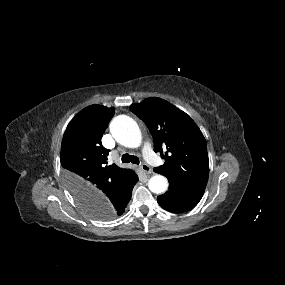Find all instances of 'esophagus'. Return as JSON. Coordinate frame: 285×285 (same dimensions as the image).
<instances>
[{"label":"esophagus","mask_w":285,"mask_h":285,"mask_svg":"<svg viewBox=\"0 0 285 285\" xmlns=\"http://www.w3.org/2000/svg\"><path fill=\"white\" fill-rule=\"evenodd\" d=\"M140 169L146 174L152 173V169L150 168V166L145 163L140 166Z\"/></svg>","instance_id":"esophagus-1"}]
</instances>
